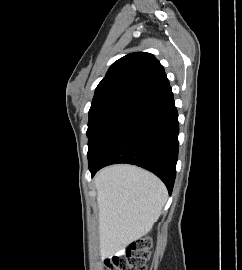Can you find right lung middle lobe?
<instances>
[{
  "instance_id": "right-lung-middle-lobe-1",
  "label": "right lung middle lobe",
  "mask_w": 242,
  "mask_h": 270,
  "mask_svg": "<svg viewBox=\"0 0 242 270\" xmlns=\"http://www.w3.org/2000/svg\"><path fill=\"white\" fill-rule=\"evenodd\" d=\"M137 105L116 102L89 110L88 122V162L95 159L99 151L110 140L125 118Z\"/></svg>"
}]
</instances>
